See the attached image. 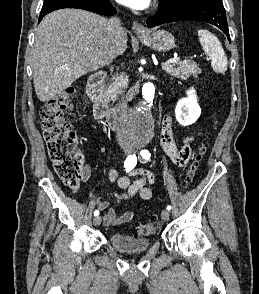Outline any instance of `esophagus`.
<instances>
[{
    "instance_id": "34e87169",
    "label": "esophagus",
    "mask_w": 259,
    "mask_h": 294,
    "mask_svg": "<svg viewBox=\"0 0 259 294\" xmlns=\"http://www.w3.org/2000/svg\"><path fill=\"white\" fill-rule=\"evenodd\" d=\"M132 30L134 33H136L138 36H143L146 34V28L139 22H134L132 25Z\"/></svg>"
}]
</instances>
